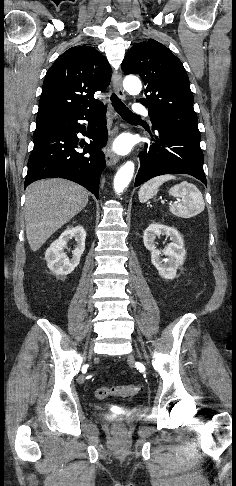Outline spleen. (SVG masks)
I'll return each mask as SVG.
<instances>
[{"label":"spleen","instance_id":"obj_1","mask_svg":"<svg viewBox=\"0 0 236 486\" xmlns=\"http://www.w3.org/2000/svg\"><path fill=\"white\" fill-rule=\"evenodd\" d=\"M176 179L174 175H161L144 183L138 193L141 203L147 202L157 194L159 187L166 181ZM169 195L181 199V203L170 206V211L177 216L190 218L201 213L205 208L204 199L199 189L192 183L183 181L169 190Z\"/></svg>","mask_w":236,"mask_h":486}]
</instances>
